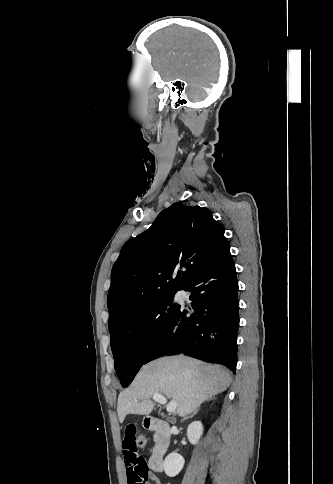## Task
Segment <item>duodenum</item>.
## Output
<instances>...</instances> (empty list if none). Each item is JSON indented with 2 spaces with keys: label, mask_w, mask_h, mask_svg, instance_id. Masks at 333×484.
Instances as JSON below:
<instances>
[{
  "label": "duodenum",
  "mask_w": 333,
  "mask_h": 484,
  "mask_svg": "<svg viewBox=\"0 0 333 484\" xmlns=\"http://www.w3.org/2000/svg\"><path fill=\"white\" fill-rule=\"evenodd\" d=\"M144 426L158 434V441L149 459V464L153 471L161 472L163 470V456L167 451L172 434L171 427L166 421L154 417H147Z\"/></svg>",
  "instance_id": "obj_1"
}]
</instances>
